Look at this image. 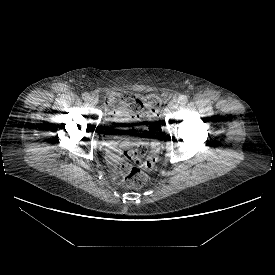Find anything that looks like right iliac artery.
Here are the masks:
<instances>
[{
    "instance_id": "1",
    "label": "right iliac artery",
    "mask_w": 275,
    "mask_h": 275,
    "mask_svg": "<svg viewBox=\"0 0 275 275\" xmlns=\"http://www.w3.org/2000/svg\"><path fill=\"white\" fill-rule=\"evenodd\" d=\"M82 98H83L84 100H89L90 95H89L88 93H83Z\"/></svg>"
}]
</instances>
